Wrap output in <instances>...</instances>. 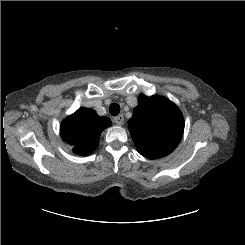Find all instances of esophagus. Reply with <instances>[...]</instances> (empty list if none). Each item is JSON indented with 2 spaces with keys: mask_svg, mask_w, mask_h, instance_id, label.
Listing matches in <instances>:
<instances>
[{
  "mask_svg": "<svg viewBox=\"0 0 245 245\" xmlns=\"http://www.w3.org/2000/svg\"><path fill=\"white\" fill-rule=\"evenodd\" d=\"M113 121L116 125L122 126L124 124V117H123V115H118V116L114 117Z\"/></svg>",
  "mask_w": 245,
  "mask_h": 245,
  "instance_id": "1",
  "label": "esophagus"
}]
</instances>
